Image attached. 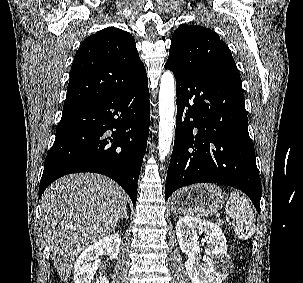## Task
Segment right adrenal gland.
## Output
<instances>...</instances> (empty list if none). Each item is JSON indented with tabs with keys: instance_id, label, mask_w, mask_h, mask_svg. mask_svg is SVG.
<instances>
[{
	"instance_id": "1",
	"label": "right adrenal gland",
	"mask_w": 303,
	"mask_h": 283,
	"mask_svg": "<svg viewBox=\"0 0 303 283\" xmlns=\"http://www.w3.org/2000/svg\"><path fill=\"white\" fill-rule=\"evenodd\" d=\"M123 218L128 219L127 208L124 210V213H123V215L121 216L120 220L123 219Z\"/></svg>"
}]
</instances>
